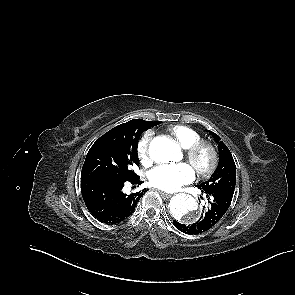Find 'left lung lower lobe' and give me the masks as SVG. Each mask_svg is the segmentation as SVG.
<instances>
[{
  "label": "left lung lower lobe",
  "instance_id": "0a47b994",
  "mask_svg": "<svg viewBox=\"0 0 295 295\" xmlns=\"http://www.w3.org/2000/svg\"><path fill=\"white\" fill-rule=\"evenodd\" d=\"M200 189V188H199ZM202 190L208 199V205L205 207L200 219L190 225H184L176 220L173 225L186 234L196 235L213 228L227 212L233 197V193L225 190Z\"/></svg>",
  "mask_w": 295,
  "mask_h": 295
}]
</instances>
